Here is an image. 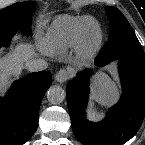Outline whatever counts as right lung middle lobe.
Returning a JSON list of instances; mask_svg holds the SVG:
<instances>
[{
  "instance_id": "right-lung-middle-lobe-1",
  "label": "right lung middle lobe",
  "mask_w": 145,
  "mask_h": 145,
  "mask_svg": "<svg viewBox=\"0 0 145 145\" xmlns=\"http://www.w3.org/2000/svg\"><path fill=\"white\" fill-rule=\"evenodd\" d=\"M34 9L33 2L15 3L0 10V47L10 43V38L17 30L24 29L30 34V16Z\"/></svg>"
}]
</instances>
